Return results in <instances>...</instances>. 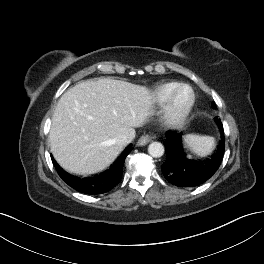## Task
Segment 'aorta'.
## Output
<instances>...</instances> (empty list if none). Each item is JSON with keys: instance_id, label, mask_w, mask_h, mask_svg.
<instances>
[{"instance_id": "762f6f07", "label": "aorta", "mask_w": 264, "mask_h": 264, "mask_svg": "<svg viewBox=\"0 0 264 264\" xmlns=\"http://www.w3.org/2000/svg\"><path fill=\"white\" fill-rule=\"evenodd\" d=\"M164 151V146L160 142H152L148 147V153L154 158L163 156Z\"/></svg>"}]
</instances>
